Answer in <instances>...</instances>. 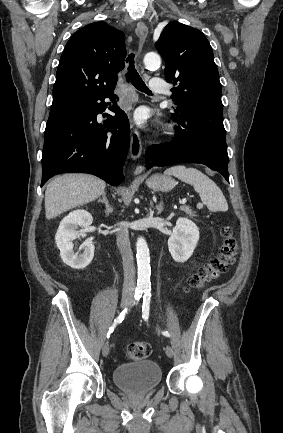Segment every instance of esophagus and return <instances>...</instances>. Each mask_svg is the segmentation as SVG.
Masks as SVG:
<instances>
[{"instance_id": "1", "label": "esophagus", "mask_w": 283, "mask_h": 433, "mask_svg": "<svg viewBox=\"0 0 283 433\" xmlns=\"http://www.w3.org/2000/svg\"><path fill=\"white\" fill-rule=\"evenodd\" d=\"M135 33L139 39L138 52L140 53L148 34L147 26L143 22H139L137 24ZM141 152H142V143H141L140 134L136 128H133L131 131L130 154L132 158L138 159L141 155ZM143 169H144L143 166H139L136 168L135 173H140L141 171H143Z\"/></svg>"}]
</instances>
